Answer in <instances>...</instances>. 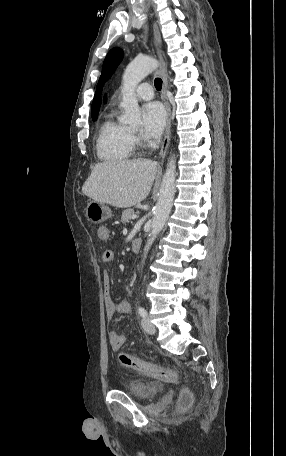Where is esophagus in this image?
Masks as SVG:
<instances>
[{"label":"esophagus","instance_id":"esophagus-1","mask_svg":"<svg viewBox=\"0 0 286 456\" xmlns=\"http://www.w3.org/2000/svg\"><path fill=\"white\" fill-rule=\"evenodd\" d=\"M153 38H154V46L156 49L157 56L160 61V67L158 69V74L162 79V100L165 104L166 111H167V124L165 130V136L161 145L160 149V156L162 158L165 157L169 143H170V132H171V108L170 104L167 99L166 89H167V74H166V66L165 61L162 54V46H161V35L156 22L153 24Z\"/></svg>","mask_w":286,"mask_h":456}]
</instances>
